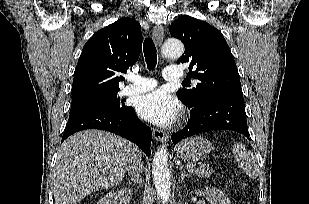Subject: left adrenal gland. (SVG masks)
Instances as JSON below:
<instances>
[{
    "mask_svg": "<svg viewBox=\"0 0 309 204\" xmlns=\"http://www.w3.org/2000/svg\"><path fill=\"white\" fill-rule=\"evenodd\" d=\"M179 170H180V173H181V179H180V181H183L185 177H188V176H189V174L184 170L183 167H180Z\"/></svg>",
    "mask_w": 309,
    "mask_h": 204,
    "instance_id": "obj_1",
    "label": "left adrenal gland"
}]
</instances>
